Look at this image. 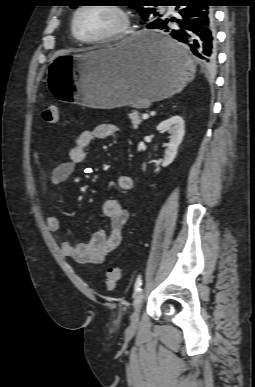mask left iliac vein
<instances>
[{
  "instance_id": "1",
  "label": "left iliac vein",
  "mask_w": 255,
  "mask_h": 387,
  "mask_svg": "<svg viewBox=\"0 0 255 387\" xmlns=\"http://www.w3.org/2000/svg\"><path fill=\"white\" fill-rule=\"evenodd\" d=\"M143 300H144V292H143V290H140L136 294V296L134 298V302H133L134 312L131 316L132 325H136L138 320H139V314H140V310H141V307L143 304Z\"/></svg>"
}]
</instances>
